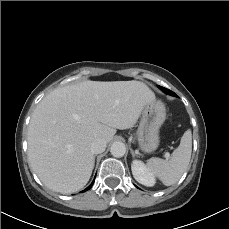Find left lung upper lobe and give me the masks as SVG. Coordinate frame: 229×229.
Instances as JSON below:
<instances>
[{
	"label": "left lung upper lobe",
	"instance_id": "obj_1",
	"mask_svg": "<svg viewBox=\"0 0 229 229\" xmlns=\"http://www.w3.org/2000/svg\"><path fill=\"white\" fill-rule=\"evenodd\" d=\"M159 88H160L161 90H163L164 92H166V93H170L169 90L166 89V88H163V87H161V86H159Z\"/></svg>",
	"mask_w": 229,
	"mask_h": 229
}]
</instances>
